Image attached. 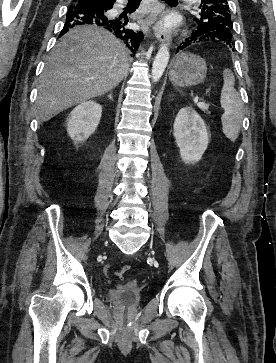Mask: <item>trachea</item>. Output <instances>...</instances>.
Listing matches in <instances>:
<instances>
[{
  "mask_svg": "<svg viewBox=\"0 0 276 363\" xmlns=\"http://www.w3.org/2000/svg\"><path fill=\"white\" fill-rule=\"evenodd\" d=\"M166 2H168L169 4L172 5H176L177 4V0H165ZM141 0H129L128 3L131 5H135V6H139L140 5Z\"/></svg>",
  "mask_w": 276,
  "mask_h": 363,
  "instance_id": "obj_1",
  "label": "trachea"
}]
</instances>
